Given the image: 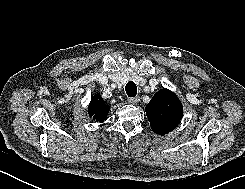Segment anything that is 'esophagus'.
Instances as JSON below:
<instances>
[{"instance_id": "1", "label": "esophagus", "mask_w": 245, "mask_h": 189, "mask_svg": "<svg viewBox=\"0 0 245 189\" xmlns=\"http://www.w3.org/2000/svg\"><path fill=\"white\" fill-rule=\"evenodd\" d=\"M128 102L132 105H136L139 102V97H130L128 98Z\"/></svg>"}]
</instances>
